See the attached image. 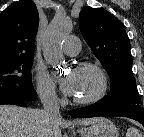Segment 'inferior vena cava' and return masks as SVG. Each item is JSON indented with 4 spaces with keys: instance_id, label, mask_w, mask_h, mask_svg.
I'll use <instances>...</instances> for the list:
<instances>
[{
    "instance_id": "602c4592",
    "label": "inferior vena cava",
    "mask_w": 144,
    "mask_h": 137,
    "mask_svg": "<svg viewBox=\"0 0 144 137\" xmlns=\"http://www.w3.org/2000/svg\"><path fill=\"white\" fill-rule=\"evenodd\" d=\"M44 112L48 119L60 117V107L54 95L49 94L42 100Z\"/></svg>"
}]
</instances>
